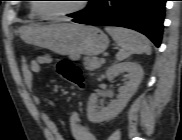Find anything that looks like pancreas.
I'll return each mask as SVG.
<instances>
[{
	"instance_id": "pancreas-1",
	"label": "pancreas",
	"mask_w": 182,
	"mask_h": 140,
	"mask_svg": "<svg viewBox=\"0 0 182 140\" xmlns=\"http://www.w3.org/2000/svg\"><path fill=\"white\" fill-rule=\"evenodd\" d=\"M103 62L96 57H85L84 58V67L89 71L96 70L102 66Z\"/></svg>"
}]
</instances>
